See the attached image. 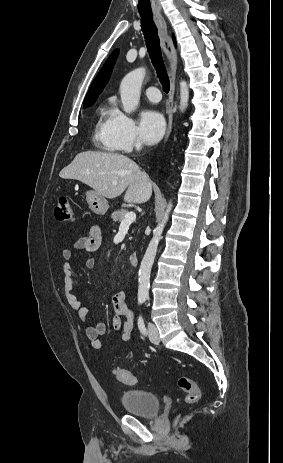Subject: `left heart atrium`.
Listing matches in <instances>:
<instances>
[{"mask_svg":"<svg viewBox=\"0 0 283 463\" xmlns=\"http://www.w3.org/2000/svg\"><path fill=\"white\" fill-rule=\"evenodd\" d=\"M165 132V120L155 110L144 111L140 118L139 133L144 142L157 143Z\"/></svg>","mask_w":283,"mask_h":463,"instance_id":"left-heart-atrium-1","label":"left heart atrium"}]
</instances>
